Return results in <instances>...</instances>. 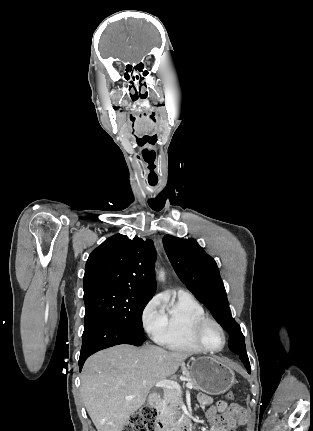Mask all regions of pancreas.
I'll return each instance as SVG.
<instances>
[{"label":"pancreas","mask_w":313,"mask_h":431,"mask_svg":"<svg viewBox=\"0 0 313 431\" xmlns=\"http://www.w3.org/2000/svg\"><path fill=\"white\" fill-rule=\"evenodd\" d=\"M185 377L195 390L199 389V385L188 372H185ZM156 408L160 415L172 425L175 424L177 419L184 418L183 412L180 411L182 408L180 395L175 389H164L163 397L159 400Z\"/></svg>","instance_id":"cf45deb5"}]
</instances>
